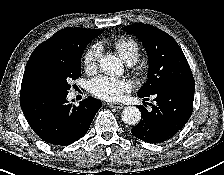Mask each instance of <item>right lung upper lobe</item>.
I'll return each mask as SVG.
<instances>
[{"label":"right lung upper lobe","instance_id":"obj_1","mask_svg":"<svg viewBox=\"0 0 224 175\" xmlns=\"http://www.w3.org/2000/svg\"><path fill=\"white\" fill-rule=\"evenodd\" d=\"M102 30L86 28H64L55 33L51 38L36 47L29 60L42 54H63L101 34Z\"/></svg>","mask_w":224,"mask_h":175}]
</instances>
